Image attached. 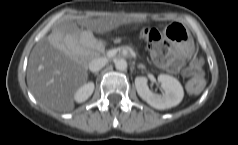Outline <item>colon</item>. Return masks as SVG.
Listing matches in <instances>:
<instances>
[{"instance_id":"5ec220e1","label":"colon","mask_w":238,"mask_h":145,"mask_svg":"<svg viewBox=\"0 0 238 145\" xmlns=\"http://www.w3.org/2000/svg\"><path fill=\"white\" fill-rule=\"evenodd\" d=\"M143 35L156 63L172 71L182 69L185 73L191 75L192 77L188 83V90L191 93H198L203 89V70L199 59L193 58L188 61L170 59L168 57L169 44L158 30L147 28L143 31Z\"/></svg>"}]
</instances>
